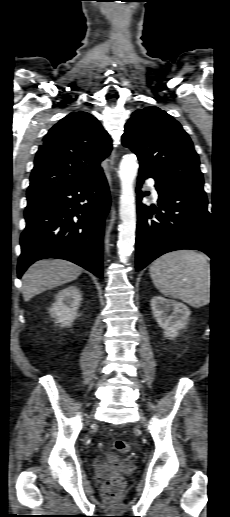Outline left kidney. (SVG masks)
<instances>
[{"mask_svg": "<svg viewBox=\"0 0 230 517\" xmlns=\"http://www.w3.org/2000/svg\"><path fill=\"white\" fill-rule=\"evenodd\" d=\"M150 303L158 325L169 339L175 338L178 331L187 325L191 311L183 303L161 296H154Z\"/></svg>", "mask_w": 230, "mask_h": 517, "instance_id": "1", "label": "left kidney"}]
</instances>
